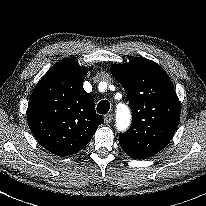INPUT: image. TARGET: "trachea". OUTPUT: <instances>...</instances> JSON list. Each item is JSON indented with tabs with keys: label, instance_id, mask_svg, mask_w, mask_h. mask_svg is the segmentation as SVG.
<instances>
[{
	"label": "trachea",
	"instance_id": "trachea-1",
	"mask_svg": "<svg viewBox=\"0 0 206 206\" xmlns=\"http://www.w3.org/2000/svg\"><path fill=\"white\" fill-rule=\"evenodd\" d=\"M110 109V103L108 100H102L97 105V113L106 114Z\"/></svg>",
	"mask_w": 206,
	"mask_h": 206
}]
</instances>
